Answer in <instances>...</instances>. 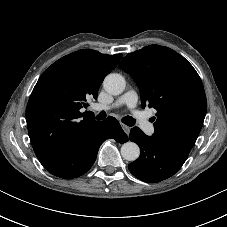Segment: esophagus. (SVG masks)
Returning a JSON list of instances; mask_svg holds the SVG:
<instances>
[{
	"label": "esophagus",
	"mask_w": 227,
	"mask_h": 227,
	"mask_svg": "<svg viewBox=\"0 0 227 227\" xmlns=\"http://www.w3.org/2000/svg\"><path fill=\"white\" fill-rule=\"evenodd\" d=\"M121 127L123 128V130L125 131V133L127 135H129V133H130V127L127 126V125H125V124H123V123H121Z\"/></svg>",
	"instance_id": "34e87169"
}]
</instances>
